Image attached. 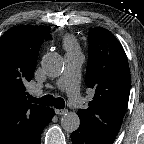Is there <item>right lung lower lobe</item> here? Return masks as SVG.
<instances>
[{"instance_id":"obj_1","label":"right lung lower lobe","mask_w":144,"mask_h":144,"mask_svg":"<svg viewBox=\"0 0 144 144\" xmlns=\"http://www.w3.org/2000/svg\"><path fill=\"white\" fill-rule=\"evenodd\" d=\"M53 115H54V111L53 109H50L49 114L46 120L44 121V123L37 129V131L34 133V135L26 144H40V137H41L42 130L45 128V126L49 124Z\"/></svg>"}]
</instances>
